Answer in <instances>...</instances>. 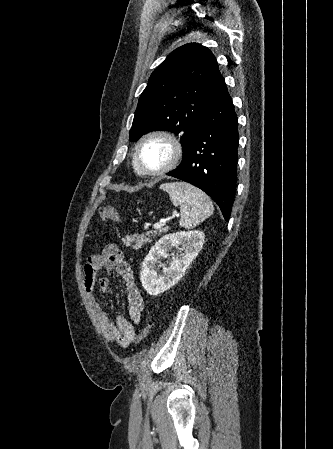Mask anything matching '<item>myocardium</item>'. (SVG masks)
<instances>
[{
  "label": "myocardium",
  "mask_w": 333,
  "mask_h": 449,
  "mask_svg": "<svg viewBox=\"0 0 333 449\" xmlns=\"http://www.w3.org/2000/svg\"><path fill=\"white\" fill-rule=\"evenodd\" d=\"M151 140H162L169 146V159L159 169L150 170L147 169L140 160V150L142 146ZM183 154V149L178 138L172 133L164 130H154L144 134L136 143L133 153V160L136 165L139 175L143 177H159L172 169H174L180 162Z\"/></svg>",
  "instance_id": "f54148a6"
}]
</instances>
